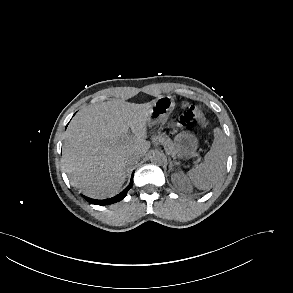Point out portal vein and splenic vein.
I'll use <instances>...</instances> for the list:
<instances>
[{
  "mask_svg": "<svg viewBox=\"0 0 293 293\" xmlns=\"http://www.w3.org/2000/svg\"><path fill=\"white\" fill-rule=\"evenodd\" d=\"M123 139H124V140H126V141H129V140H131V139H132V137L125 136Z\"/></svg>",
  "mask_w": 293,
  "mask_h": 293,
  "instance_id": "1",
  "label": "portal vein and splenic vein"
}]
</instances>
